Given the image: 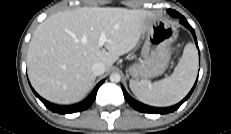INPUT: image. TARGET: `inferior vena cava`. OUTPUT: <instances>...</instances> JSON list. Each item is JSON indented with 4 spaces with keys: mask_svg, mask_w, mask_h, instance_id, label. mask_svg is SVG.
Masks as SVG:
<instances>
[{
    "mask_svg": "<svg viewBox=\"0 0 231 134\" xmlns=\"http://www.w3.org/2000/svg\"><path fill=\"white\" fill-rule=\"evenodd\" d=\"M105 70V65L102 62H96L92 65V71L96 76L103 74Z\"/></svg>",
    "mask_w": 231,
    "mask_h": 134,
    "instance_id": "602c4592",
    "label": "inferior vena cava"
}]
</instances>
